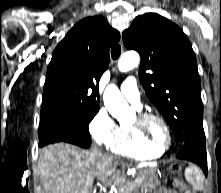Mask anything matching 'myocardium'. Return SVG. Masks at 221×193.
Returning <instances> with one entry per match:
<instances>
[{"instance_id": "1", "label": "myocardium", "mask_w": 221, "mask_h": 193, "mask_svg": "<svg viewBox=\"0 0 221 193\" xmlns=\"http://www.w3.org/2000/svg\"><path fill=\"white\" fill-rule=\"evenodd\" d=\"M152 120L158 121L165 129L167 140H168L166 145L160 144L151 135L150 130H149V124ZM132 127L143 141H145L146 143H148L149 145L158 149L161 152H164L170 149L173 144V134H172L171 127L166 121V119L159 113L152 112V111L140 112L136 120L132 124Z\"/></svg>"}]
</instances>
